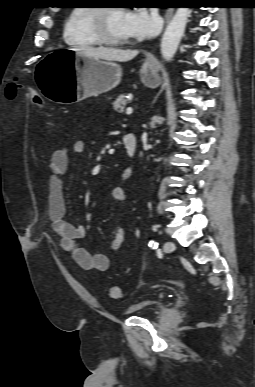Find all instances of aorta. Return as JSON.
I'll use <instances>...</instances> for the list:
<instances>
[{
  "label": "aorta",
  "instance_id": "obj_1",
  "mask_svg": "<svg viewBox=\"0 0 255 387\" xmlns=\"http://www.w3.org/2000/svg\"><path fill=\"white\" fill-rule=\"evenodd\" d=\"M188 15L189 9L187 7H179L163 34L161 54L166 61H171L178 49L185 32Z\"/></svg>",
  "mask_w": 255,
  "mask_h": 387
}]
</instances>
